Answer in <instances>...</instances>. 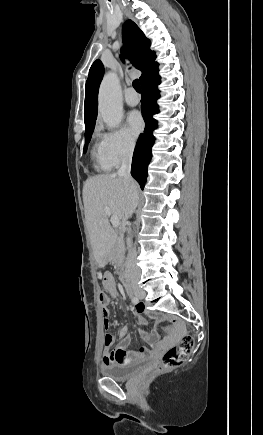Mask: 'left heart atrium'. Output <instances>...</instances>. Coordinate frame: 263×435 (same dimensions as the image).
<instances>
[{
    "label": "left heart atrium",
    "instance_id": "obj_1",
    "mask_svg": "<svg viewBox=\"0 0 263 435\" xmlns=\"http://www.w3.org/2000/svg\"><path fill=\"white\" fill-rule=\"evenodd\" d=\"M127 124L131 135H139L144 128V121L138 111H131L127 116Z\"/></svg>",
    "mask_w": 263,
    "mask_h": 435
}]
</instances>
